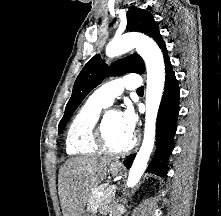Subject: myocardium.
<instances>
[{
  "label": "myocardium",
  "mask_w": 221,
  "mask_h": 216,
  "mask_svg": "<svg viewBox=\"0 0 221 216\" xmlns=\"http://www.w3.org/2000/svg\"><path fill=\"white\" fill-rule=\"evenodd\" d=\"M112 111L105 112L102 116H100L99 122L96 127V142L99 148L105 152H108L112 155H122L130 152L134 149L137 144V139L132 138L131 141L124 147L115 148L111 146L107 140L106 132H105V123L108 113Z\"/></svg>",
  "instance_id": "myocardium-1"
}]
</instances>
